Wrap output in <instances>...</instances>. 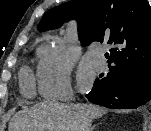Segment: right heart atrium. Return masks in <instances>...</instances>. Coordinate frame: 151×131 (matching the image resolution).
Listing matches in <instances>:
<instances>
[{"mask_svg": "<svg viewBox=\"0 0 151 131\" xmlns=\"http://www.w3.org/2000/svg\"><path fill=\"white\" fill-rule=\"evenodd\" d=\"M71 62L68 56L58 48H52L40 56L36 80L39 93L47 99L69 97L71 88Z\"/></svg>", "mask_w": 151, "mask_h": 131, "instance_id": "right-heart-atrium-1", "label": "right heart atrium"}]
</instances>
